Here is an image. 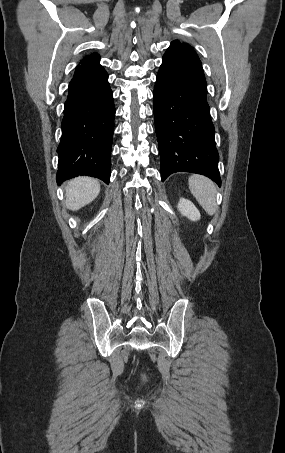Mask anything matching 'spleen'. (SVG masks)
Listing matches in <instances>:
<instances>
[{
    "mask_svg": "<svg viewBox=\"0 0 285 453\" xmlns=\"http://www.w3.org/2000/svg\"><path fill=\"white\" fill-rule=\"evenodd\" d=\"M189 189L207 214L216 211V186L209 178L202 175H192L188 179Z\"/></svg>",
    "mask_w": 285,
    "mask_h": 453,
    "instance_id": "spleen-1",
    "label": "spleen"
}]
</instances>
